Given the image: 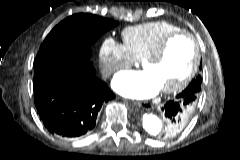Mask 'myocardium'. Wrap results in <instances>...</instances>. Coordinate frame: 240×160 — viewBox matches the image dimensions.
Listing matches in <instances>:
<instances>
[{"mask_svg":"<svg viewBox=\"0 0 240 160\" xmlns=\"http://www.w3.org/2000/svg\"><path fill=\"white\" fill-rule=\"evenodd\" d=\"M178 37H185L191 42L194 51L193 63L184 78L179 80L174 85L160 88L161 92L163 93H174L180 91L186 87L195 77L201 60V53L197 40L192 34L186 31H176L170 33L159 42V44L150 54L141 59L142 66L159 61L164 56V53L171 41Z\"/></svg>","mask_w":240,"mask_h":160,"instance_id":"obj_1","label":"myocardium"}]
</instances>
